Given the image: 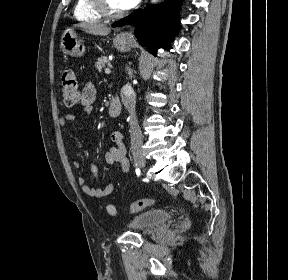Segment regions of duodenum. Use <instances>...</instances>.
<instances>
[{"label": "duodenum", "mask_w": 288, "mask_h": 280, "mask_svg": "<svg viewBox=\"0 0 288 280\" xmlns=\"http://www.w3.org/2000/svg\"><path fill=\"white\" fill-rule=\"evenodd\" d=\"M121 112V103L117 98H113L108 105V114L112 118H116L120 115Z\"/></svg>", "instance_id": "1"}]
</instances>
